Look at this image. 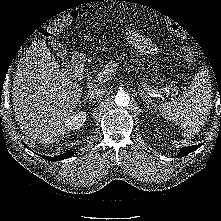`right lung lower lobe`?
Segmentation results:
<instances>
[{
  "instance_id": "1",
  "label": "right lung lower lobe",
  "mask_w": 221,
  "mask_h": 221,
  "mask_svg": "<svg viewBox=\"0 0 221 221\" xmlns=\"http://www.w3.org/2000/svg\"><path fill=\"white\" fill-rule=\"evenodd\" d=\"M24 146L30 150V148L26 144H24ZM72 155H74V150H69V151L66 152V154H62V155H59V156H56V157H48V156H42V157L44 159L48 160V161L56 162V161H60V160L69 158Z\"/></svg>"
}]
</instances>
